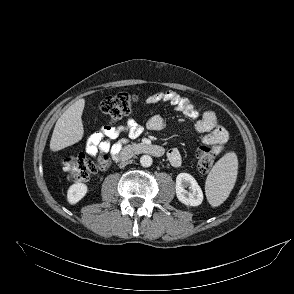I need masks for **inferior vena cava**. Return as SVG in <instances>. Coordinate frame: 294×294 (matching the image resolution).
Here are the masks:
<instances>
[{"label":"inferior vena cava","instance_id":"inferior-vena-cava-1","mask_svg":"<svg viewBox=\"0 0 294 294\" xmlns=\"http://www.w3.org/2000/svg\"><path fill=\"white\" fill-rule=\"evenodd\" d=\"M128 162L123 160L121 163H120V167H124Z\"/></svg>","mask_w":294,"mask_h":294}]
</instances>
